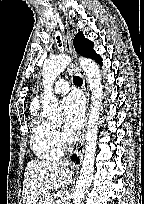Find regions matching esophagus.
Segmentation results:
<instances>
[{"instance_id":"34e87169","label":"esophagus","mask_w":144,"mask_h":204,"mask_svg":"<svg viewBox=\"0 0 144 204\" xmlns=\"http://www.w3.org/2000/svg\"><path fill=\"white\" fill-rule=\"evenodd\" d=\"M72 34L70 33V31H67L66 35H65V47L68 53H70L73 58H74V68L75 70L78 72V74L80 75V77L82 78L83 81V91L85 93L86 99H87V116L85 119V127L83 129V132L80 136V140H79V144L77 146L76 149V154L77 156H82L84 153V146H85V140H86V129H87V120H88V115H89V86H88V80L87 77L85 75V73L83 72V70L81 69V67L78 65L77 61H76V52L74 50L73 47V43H72Z\"/></svg>"}]
</instances>
